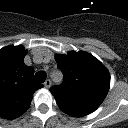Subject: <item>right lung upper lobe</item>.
<instances>
[{"instance_id":"cb5924a9","label":"right lung upper lobe","mask_w":128,"mask_h":128,"mask_svg":"<svg viewBox=\"0 0 128 128\" xmlns=\"http://www.w3.org/2000/svg\"><path fill=\"white\" fill-rule=\"evenodd\" d=\"M23 46L0 50V116L17 118L29 107L35 90L43 85L33 80L34 70L23 62Z\"/></svg>"}]
</instances>
